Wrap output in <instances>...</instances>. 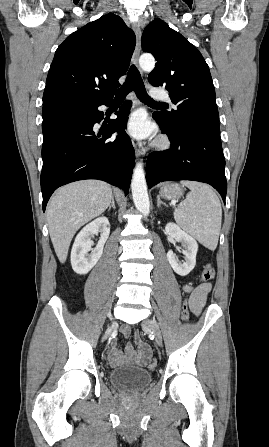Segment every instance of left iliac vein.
<instances>
[{
	"label": "left iliac vein",
	"mask_w": 269,
	"mask_h": 447,
	"mask_svg": "<svg viewBox=\"0 0 269 447\" xmlns=\"http://www.w3.org/2000/svg\"><path fill=\"white\" fill-rule=\"evenodd\" d=\"M143 325L145 327H149L155 335V341L158 345L162 344V333H161V329L159 327V325L157 324L156 321L148 319L146 321H144Z\"/></svg>",
	"instance_id": "1"
}]
</instances>
